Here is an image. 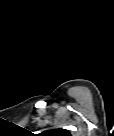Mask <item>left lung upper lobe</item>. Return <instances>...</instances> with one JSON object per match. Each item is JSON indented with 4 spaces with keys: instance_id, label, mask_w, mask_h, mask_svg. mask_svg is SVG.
Here are the masks:
<instances>
[{
    "instance_id": "1",
    "label": "left lung upper lobe",
    "mask_w": 114,
    "mask_h": 136,
    "mask_svg": "<svg viewBox=\"0 0 114 136\" xmlns=\"http://www.w3.org/2000/svg\"><path fill=\"white\" fill-rule=\"evenodd\" d=\"M47 134L49 136H70L69 131L65 129L50 130V131H47Z\"/></svg>"
}]
</instances>
